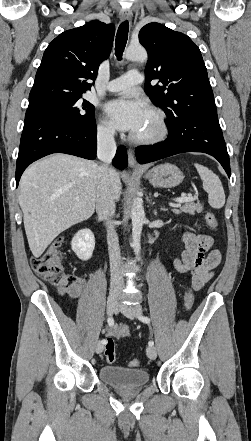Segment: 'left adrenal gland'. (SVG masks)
Instances as JSON below:
<instances>
[{"instance_id":"obj_1","label":"left adrenal gland","mask_w":251,"mask_h":441,"mask_svg":"<svg viewBox=\"0 0 251 441\" xmlns=\"http://www.w3.org/2000/svg\"><path fill=\"white\" fill-rule=\"evenodd\" d=\"M161 210L166 211V209L161 208Z\"/></svg>"}]
</instances>
